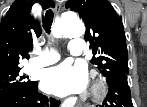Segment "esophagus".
<instances>
[{"label": "esophagus", "instance_id": "esophagus-1", "mask_svg": "<svg viewBox=\"0 0 147 107\" xmlns=\"http://www.w3.org/2000/svg\"><path fill=\"white\" fill-rule=\"evenodd\" d=\"M60 12H61V3L60 2H57L56 3V6H55L56 16H59Z\"/></svg>", "mask_w": 147, "mask_h": 107}]
</instances>
